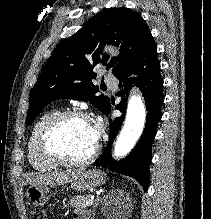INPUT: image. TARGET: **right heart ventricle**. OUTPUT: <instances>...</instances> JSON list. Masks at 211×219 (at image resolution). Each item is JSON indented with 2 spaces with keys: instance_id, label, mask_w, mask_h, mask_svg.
<instances>
[{
  "instance_id": "right-heart-ventricle-1",
  "label": "right heart ventricle",
  "mask_w": 211,
  "mask_h": 219,
  "mask_svg": "<svg viewBox=\"0 0 211 219\" xmlns=\"http://www.w3.org/2000/svg\"><path fill=\"white\" fill-rule=\"evenodd\" d=\"M57 111L54 109L44 112L35 122L27 144L28 162L37 171L45 172L54 168L55 165L44 160L36 150V138L42 125Z\"/></svg>"
}]
</instances>
